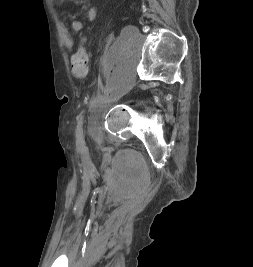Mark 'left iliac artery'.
Instances as JSON below:
<instances>
[{
	"mask_svg": "<svg viewBox=\"0 0 253 267\" xmlns=\"http://www.w3.org/2000/svg\"><path fill=\"white\" fill-rule=\"evenodd\" d=\"M83 123H84V112L80 115L78 122H77V128H76V135L80 140H82L83 136Z\"/></svg>",
	"mask_w": 253,
	"mask_h": 267,
	"instance_id": "44dca946",
	"label": "left iliac artery"
}]
</instances>
